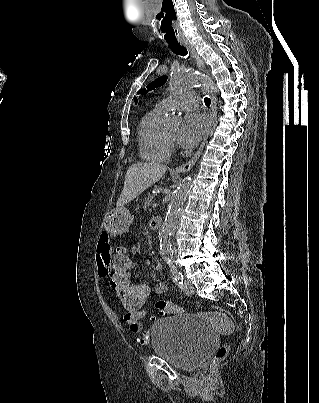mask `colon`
<instances>
[{
    "label": "colon",
    "mask_w": 319,
    "mask_h": 403,
    "mask_svg": "<svg viewBox=\"0 0 319 403\" xmlns=\"http://www.w3.org/2000/svg\"><path fill=\"white\" fill-rule=\"evenodd\" d=\"M126 240V237H123ZM130 246V243H129ZM128 246V247H129ZM125 247V248H128ZM136 267V260L133 259V252H116V259H113V287L116 291L115 297L118 304H121L123 313H146L147 312V291H150V282H133L131 278V268ZM158 316L178 314L181 308L178 304L158 300L156 302ZM140 344H147L149 334H144L139 340ZM230 353L229 345L220 346L212 360L211 372L214 373L216 366L223 361Z\"/></svg>",
    "instance_id": "1"
}]
</instances>
